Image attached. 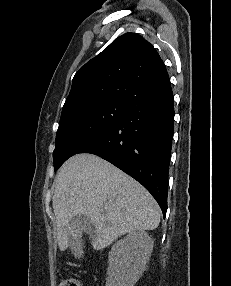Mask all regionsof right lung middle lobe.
Returning a JSON list of instances; mask_svg holds the SVG:
<instances>
[{
	"label": "right lung middle lobe",
	"mask_w": 231,
	"mask_h": 286,
	"mask_svg": "<svg viewBox=\"0 0 231 286\" xmlns=\"http://www.w3.org/2000/svg\"><path fill=\"white\" fill-rule=\"evenodd\" d=\"M127 113L121 101H104L62 116L53 152L56 171L68 158L78 153Z\"/></svg>",
	"instance_id": "dd1d6c3e"
}]
</instances>
